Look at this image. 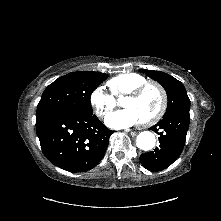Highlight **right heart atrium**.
<instances>
[{"label": "right heart atrium", "mask_w": 221, "mask_h": 221, "mask_svg": "<svg viewBox=\"0 0 221 221\" xmlns=\"http://www.w3.org/2000/svg\"><path fill=\"white\" fill-rule=\"evenodd\" d=\"M90 103L95 114L101 118L105 117L116 107L114 98L100 87L92 91Z\"/></svg>", "instance_id": "obj_1"}]
</instances>
